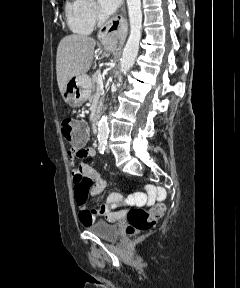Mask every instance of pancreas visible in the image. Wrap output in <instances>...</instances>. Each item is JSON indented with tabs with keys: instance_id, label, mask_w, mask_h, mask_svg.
Segmentation results:
<instances>
[{
	"instance_id": "cf45deb5",
	"label": "pancreas",
	"mask_w": 240,
	"mask_h": 288,
	"mask_svg": "<svg viewBox=\"0 0 240 288\" xmlns=\"http://www.w3.org/2000/svg\"><path fill=\"white\" fill-rule=\"evenodd\" d=\"M101 72L100 70H97L93 75H92V84H93V88H94V91H95V94L99 92V94L102 96L99 100V103L98 105L101 106L103 104V101H104V98H105V93H101L99 90H98V87H99V76H100ZM94 94V96H95ZM93 96V97H94ZM93 97L89 98L90 101H92Z\"/></svg>"
}]
</instances>
